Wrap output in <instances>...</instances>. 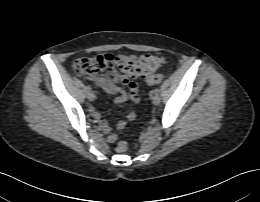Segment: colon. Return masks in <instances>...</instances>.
<instances>
[{"instance_id":"colon-1","label":"colon","mask_w":260,"mask_h":202,"mask_svg":"<svg viewBox=\"0 0 260 202\" xmlns=\"http://www.w3.org/2000/svg\"><path fill=\"white\" fill-rule=\"evenodd\" d=\"M164 59L156 54H143L135 56L128 53L99 54L94 57H82L74 60L73 71L87 77L94 82L107 84L117 79L125 85H130L132 79L144 77L150 85L159 84L164 75L155 73L162 65ZM118 70L121 74L118 73ZM128 146L125 142H119L116 150L125 153Z\"/></svg>"}]
</instances>
